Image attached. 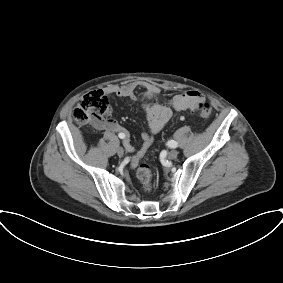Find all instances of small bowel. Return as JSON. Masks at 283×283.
<instances>
[{"label":"small bowel","mask_w":283,"mask_h":283,"mask_svg":"<svg viewBox=\"0 0 283 283\" xmlns=\"http://www.w3.org/2000/svg\"><path fill=\"white\" fill-rule=\"evenodd\" d=\"M141 89L143 91L142 98L143 109L146 114L149 132L143 134V144L141 149L132 158L131 166L135 167L138 161L143 156L144 152L151 146L153 142L152 135L159 132L173 117L174 112H182L188 109H194L198 103L205 100L204 96L196 91L190 90L184 93L174 95L170 100V106L163 105L158 102H148L156 98L161 91V88L155 83L140 82L129 83L123 86L110 85L102 90L105 95L114 94L120 98H127L135 100L137 98L136 91ZM103 128L113 133H123L127 136L126 130L117 121L110 119L105 122ZM125 148L134 152L135 148L130 144L128 137L124 141Z\"/></svg>","instance_id":"obj_1"}]
</instances>
